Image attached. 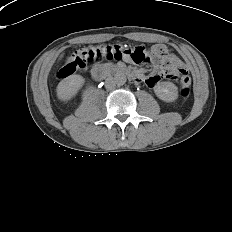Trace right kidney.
Here are the masks:
<instances>
[{"label":"right kidney","instance_id":"right-kidney-1","mask_svg":"<svg viewBox=\"0 0 232 232\" xmlns=\"http://www.w3.org/2000/svg\"><path fill=\"white\" fill-rule=\"evenodd\" d=\"M84 79L78 75H71L63 79L57 86V96L60 100H70L82 87Z\"/></svg>","mask_w":232,"mask_h":232}]
</instances>
